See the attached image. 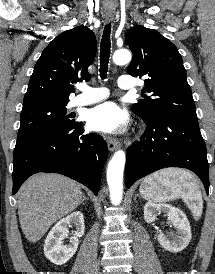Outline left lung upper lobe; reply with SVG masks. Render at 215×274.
Wrapping results in <instances>:
<instances>
[{"mask_svg": "<svg viewBox=\"0 0 215 274\" xmlns=\"http://www.w3.org/2000/svg\"><path fill=\"white\" fill-rule=\"evenodd\" d=\"M133 59L128 73L146 76L143 92L146 97L132 105V111L142 118L178 116L198 121L186 70L176 46L158 31L141 25L130 28L125 37Z\"/></svg>", "mask_w": 215, "mask_h": 274, "instance_id": "left-lung-upper-lobe-1", "label": "left lung upper lobe"}]
</instances>
